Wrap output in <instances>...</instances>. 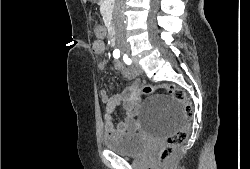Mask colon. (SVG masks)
Returning a JSON list of instances; mask_svg holds the SVG:
<instances>
[{"instance_id":"colon-1","label":"colon","mask_w":250,"mask_h":169,"mask_svg":"<svg viewBox=\"0 0 250 169\" xmlns=\"http://www.w3.org/2000/svg\"><path fill=\"white\" fill-rule=\"evenodd\" d=\"M93 18V15H91ZM93 51H98V44H93ZM145 90H139V95H150L153 90H158L160 87L158 85H145ZM164 88L163 86L161 87ZM165 93H170L175 101H179L183 104L184 115L186 120L194 119L193 102L186 95V88H177L174 85H170L165 88ZM185 126H180L176 133L171 134L164 145H161V150H158L157 155V166L159 169H175V162L173 161V155H177V150H183V143L188 139V135H191V124L190 122H185Z\"/></svg>"}]
</instances>
